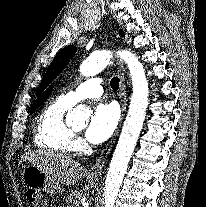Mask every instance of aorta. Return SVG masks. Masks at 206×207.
I'll use <instances>...</instances> for the list:
<instances>
[{"label":"aorta","mask_w":206,"mask_h":207,"mask_svg":"<svg viewBox=\"0 0 206 207\" xmlns=\"http://www.w3.org/2000/svg\"><path fill=\"white\" fill-rule=\"evenodd\" d=\"M130 71L133 93L122 132L115 148L104 187V207H114L126 173L128 163L136 146L148 106V81L138 58L129 51L118 52ZM112 53L99 51L92 53L81 65L80 73L89 77L100 73L109 64ZM89 111L84 105H78L67 115V122L87 121Z\"/></svg>","instance_id":"762f6f07"}]
</instances>
